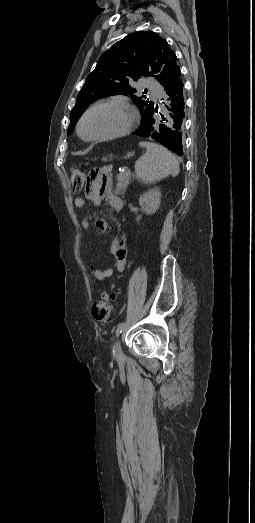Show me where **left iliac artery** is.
I'll return each instance as SVG.
<instances>
[{
	"label": "left iliac artery",
	"instance_id": "obj_1",
	"mask_svg": "<svg viewBox=\"0 0 255 523\" xmlns=\"http://www.w3.org/2000/svg\"><path fill=\"white\" fill-rule=\"evenodd\" d=\"M124 326H125V323H124V322L120 323V324L117 326V329H116V336H117V337H118V336L121 334V332L123 331Z\"/></svg>",
	"mask_w": 255,
	"mask_h": 523
}]
</instances>
